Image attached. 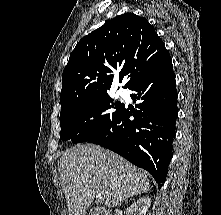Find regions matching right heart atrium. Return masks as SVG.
I'll return each mask as SVG.
<instances>
[{
	"label": "right heart atrium",
	"instance_id": "1",
	"mask_svg": "<svg viewBox=\"0 0 221 215\" xmlns=\"http://www.w3.org/2000/svg\"><path fill=\"white\" fill-rule=\"evenodd\" d=\"M96 115H97V113H96L95 111H92V112H91V116H92V117H95Z\"/></svg>",
	"mask_w": 221,
	"mask_h": 215
}]
</instances>
